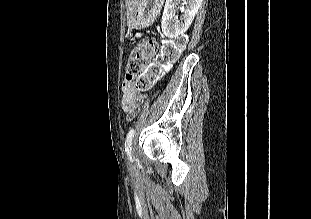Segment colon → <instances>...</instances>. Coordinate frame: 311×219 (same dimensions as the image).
<instances>
[{
  "mask_svg": "<svg viewBox=\"0 0 311 219\" xmlns=\"http://www.w3.org/2000/svg\"><path fill=\"white\" fill-rule=\"evenodd\" d=\"M186 39L184 36L166 40L147 72L141 74L145 59L154 51L152 40H146L138 45L128 58L126 69L131 75H140L137 80V88L144 90L149 88L162 74L165 67L175 62L185 48Z\"/></svg>",
  "mask_w": 311,
  "mask_h": 219,
  "instance_id": "1",
  "label": "colon"
}]
</instances>
